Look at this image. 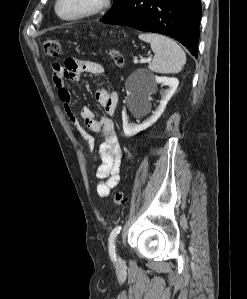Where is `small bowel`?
<instances>
[{
    "label": "small bowel",
    "instance_id": "obj_1",
    "mask_svg": "<svg viewBox=\"0 0 247 299\" xmlns=\"http://www.w3.org/2000/svg\"><path fill=\"white\" fill-rule=\"evenodd\" d=\"M83 72L99 75L103 74L105 69L100 63L75 58L67 59L64 64H52L53 83L58 90V96L63 103L65 114L84 140L88 150H92L94 137L84 129L72 110V94L65 85L66 79L79 81ZM95 98L104 110L105 115L97 120L93 110L84 106L80 111V116L84 125L90 131L100 133L103 136V141L99 147L101 164L96 171V176L100 179L97 185V193L101 198H105L120 181L123 160V150L112 120L118 104V94L114 90L101 87L97 90Z\"/></svg>",
    "mask_w": 247,
    "mask_h": 299
}]
</instances>
